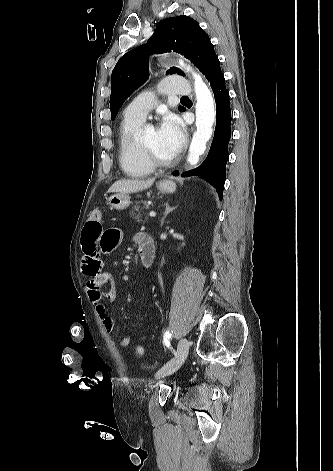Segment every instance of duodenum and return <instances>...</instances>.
<instances>
[{
    "mask_svg": "<svg viewBox=\"0 0 333 471\" xmlns=\"http://www.w3.org/2000/svg\"><path fill=\"white\" fill-rule=\"evenodd\" d=\"M140 262L145 268L152 265L155 257V246L151 238L143 240L139 245Z\"/></svg>",
    "mask_w": 333,
    "mask_h": 471,
    "instance_id": "obj_1",
    "label": "duodenum"
}]
</instances>
